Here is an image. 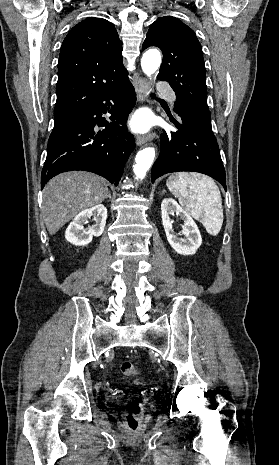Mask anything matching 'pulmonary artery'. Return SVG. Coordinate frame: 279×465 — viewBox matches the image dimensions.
Here are the masks:
<instances>
[{"label":"pulmonary artery","instance_id":"e3ab8cb5","mask_svg":"<svg viewBox=\"0 0 279 465\" xmlns=\"http://www.w3.org/2000/svg\"><path fill=\"white\" fill-rule=\"evenodd\" d=\"M159 91L160 93L164 94L172 104H174V102L176 101V97L174 92L168 86L160 85Z\"/></svg>","mask_w":279,"mask_h":465}]
</instances>
